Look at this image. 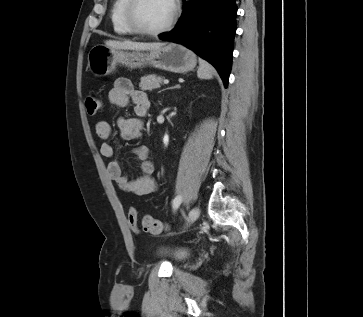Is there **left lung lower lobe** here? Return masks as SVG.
<instances>
[{"mask_svg": "<svg viewBox=\"0 0 363 317\" xmlns=\"http://www.w3.org/2000/svg\"><path fill=\"white\" fill-rule=\"evenodd\" d=\"M236 14L235 0H189L176 27L159 38L180 43L210 62L227 87Z\"/></svg>", "mask_w": 363, "mask_h": 317, "instance_id": "0a47b994", "label": "left lung lower lobe"}]
</instances>
